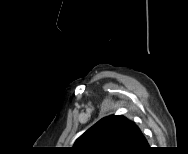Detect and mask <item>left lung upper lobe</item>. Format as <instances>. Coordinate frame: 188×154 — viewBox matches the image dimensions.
Returning <instances> with one entry per match:
<instances>
[{
	"instance_id": "left-lung-upper-lobe-1",
	"label": "left lung upper lobe",
	"mask_w": 188,
	"mask_h": 154,
	"mask_svg": "<svg viewBox=\"0 0 188 154\" xmlns=\"http://www.w3.org/2000/svg\"><path fill=\"white\" fill-rule=\"evenodd\" d=\"M136 124L122 115L102 118L75 142L83 154H125L130 152Z\"/></svg>"
}]
</instances>
